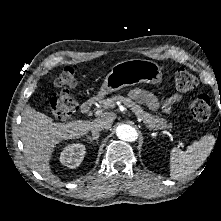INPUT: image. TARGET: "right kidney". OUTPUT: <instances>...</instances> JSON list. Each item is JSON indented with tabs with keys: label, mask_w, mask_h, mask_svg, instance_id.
<instances>
[{
	"label": "right kidney",
	"mask_w": 221,
	"mask_h": 221,
	"mask_svg": "<svg viewBox=\"0 0 221 221\" xmlns=\"http://www.w3.org/2000/svg\"><path fill=\"white\" fill-rule=\"evenodd\" d=\"M86 148L82 144H71L66 146L60 155V162L69 167H78L84 159Z\"/></svg>",
	"instance_id": "right-kidney-1"
}]
</instances>
